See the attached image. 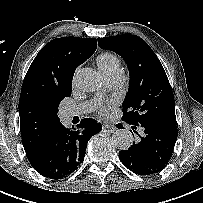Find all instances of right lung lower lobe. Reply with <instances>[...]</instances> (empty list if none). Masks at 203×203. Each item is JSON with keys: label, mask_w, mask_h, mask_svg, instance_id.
I'll return each mask as SVG.
<instances>
[{"label": "right lung lower lobe", "mask_w": 203, "mask_h": 203, "mask_svg": "<svg viewBox=\"0 0 203 203\" xmlns=\"http://www.w3.org/2000/svg\"><path fill=\"white\" fill-rule=\"evenodd\" d=\"M77 129L59 125L47 144L32 156H27L33 168L44 177L58 180L73 173L84 160L86 144L102 130L94 119H82Z\"/></svg>", "instance_id": "1"}]
</instances>
